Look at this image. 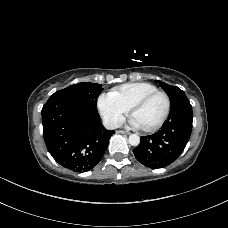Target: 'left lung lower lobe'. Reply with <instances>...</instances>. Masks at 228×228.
<instances>
[{"label": "left lung lower lobe", "mask_w": 228, "mask_h": 228, "mask_svg": "<svg viewBox=\"0 0 228 228\" xmlns=\"http://www.w3.org/2000/svg\"><path fill=\"white\" fill-rule=\"evenodd\" d=\"M193 113L189 100L171 108L161 130L153 135L142 136L133 150L135 158L143 165L162 168L174 162L183 152L192 131Z\"/></svg>", "instance_id": "0a47b994"}]
</instances>
